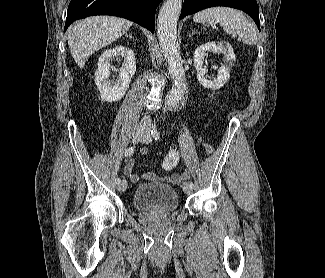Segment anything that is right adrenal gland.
Returning a JSON list of instances; mask_svg holds the SVG:
<instances>
[{"label":"right adrenal gland","instance_id":"obj_1","mask_svg":"<svg viewBox=\"0 0 325 278\" xmlns=\"http://www.w3.org/2000/svg\"><path fill=\"white\" fill-rule=\"evenodd\" d=\"M129 38H133V37H132V34L129 35Z\"/></svg>","mask_w":325,"mask_h":278}]
</instances>
